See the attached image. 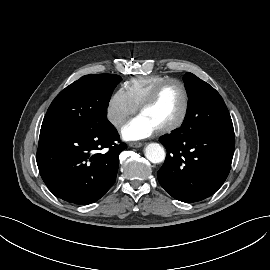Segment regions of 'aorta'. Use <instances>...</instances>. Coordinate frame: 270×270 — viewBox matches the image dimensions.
<instances>
[{
    "label": "aorta",
    "mask_w": 270,
    "mask_h": 270,
    "mask_svg": "<svg viewBox=\"0 0 270 270\" xmlns=\"http://www.w3.org/2000/svg\"><path fill=\"white\" fill-rule=\"evenodd\" d=\"M145 157L152 163H161L165 159L164 148L158 143H150L145 147Z\"/></svg>",
    "instance_id": "1"
}]
</instances>
